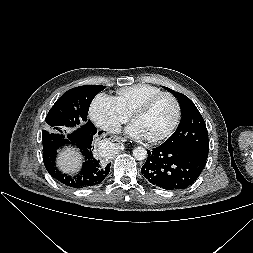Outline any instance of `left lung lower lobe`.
Segmentation results:
<instances>
[{"label":"left lung lower lobe","mask_w":253,"mask_h":253,"mask_svg":"<svg viewBox=\"0 0 253 253\" xmlns=\"http://www.w3.org/2000/svg\"><path fill=\"white\" fill-rule=\"evenodd\" d=\"M141 168L153 185L166 190L185 189L192 185L206 165V158L184 148L160 145L152 151Z\"/></svg>","instance_id":"left-lung-lower-lobe-1"}]
</instances>
